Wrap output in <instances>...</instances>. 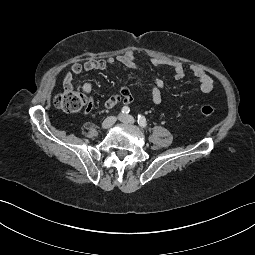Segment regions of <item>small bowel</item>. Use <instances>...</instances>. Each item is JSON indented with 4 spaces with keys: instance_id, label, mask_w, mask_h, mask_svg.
<instances>
[{
    "instance_id": "c3829d8e",
    "label": "small bowel",
    "mask_w": 255,
    "mask_h": 255,
    "mask_svg": "<svg viewBox=\"0 0 255 255\" xmlns=\"http://www.w3.org/2000/svg\"><path fill=\"white\" fill-rule=\"evenodd\" d=\"M137 53L133 50H129L124 54L116 57H109L104 60H89L85 63H74L71 67V71L65 76V84H69L72 79L77 78L83 72L89 71H102L108 66L122 65L134 70H143L138 64L136 59ZM151 63L155 67H165L172 70L176 79H182L185 76V69L183 65L178 61L162 60L159 58H152ZM192 75L198 80L199 87L202 92L209 93L213 89V79L211 76L199 67H193L191 69ZM165 87V82L162 78L152 76L151 82V99L154 104H160L163 99L162 92ZM82 90L85 94L90 95L93 91V85L91 82H86L82 86ZM133 102V95L128 85L123 82L120 86V92L117 95L108 98L104 104L107 110L113 109L119 103L129 105Z\"/></svg>"
}]
</instances>
